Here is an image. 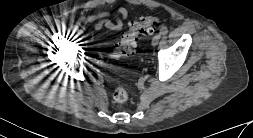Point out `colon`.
I'll use <instances>...</instances> for the list:
<instances>
[{"label":"colon","mask_w":253,"mask_h":138,"mask_svg":"<svg viewBox=\"0 0 253 138\" xmlns=\"http://www.w3.org/2000/svg\"><path fill=\"white\" fill-rule=\"evenodd\" d=\"M158 24L159 19L155 16H147L140 21L132 22L109 57L117 59L130 54L136 47L139 36L145 33L152 34ZM113 99L117 103L126 102L128 99L127 90L123 87L116 88L113 92Z\"/></svg>","instance_id":"colon-1"}]
</instances>
